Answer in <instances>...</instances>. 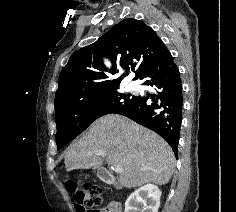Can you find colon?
<instances>
[{
  "label": "colon",
  "instance_id": "obj_1",
  "mask_svg": "<svg viewBox=\"0 0 236 212\" xmlns=\"http://www.w3.org/2000/svg\"><path fill=\"white\" fill-rule=\"evenodd\" d=\"M67 187L73 194L79 212H100L101 189L90 181H69Z\"/></svg>",
  "mask_w": 236,
  "mask_h": 212
}]
</instances>
